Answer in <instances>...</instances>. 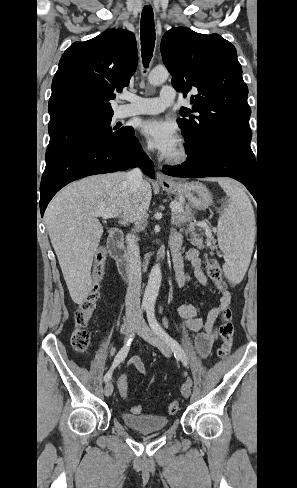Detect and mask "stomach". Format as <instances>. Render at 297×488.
I'll use <instances>...</instances> for the list:
<instances>
[{"label":"stomach","instance_id":"stomach-1","mask_svg":"<svg viewBox=\"0 0 297 488\" xmlns=\"http://www.w3.org/2000/svg\"><path fill=\"white\" fill-rule=\"evenodd\" d=\"M163 190L177 196L180 200H187L188 203L199 210H205L212 204V194L201 182H170L162 184Z\"/></svg>","mask_w":297,"mask_h":488}]
</instances>
